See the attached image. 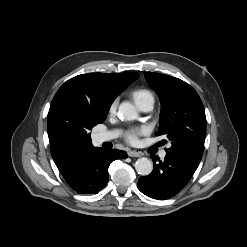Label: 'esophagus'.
Listing matches in <instances>:
<instances>
[{"label":"esophagus","mask_w":247,"mask_h":247,"mask_svg":"<svg viewBox=\"0 0 247 247\" xmlns=\"http://www.w3.org/2000/svg\"><path fill=\"white\" fill-rule=\"evenodd\" d=\"M128 155L130 157H141L142 153L138 152V151H135V150H131V151L128 152Z\"/></svg>","instance_id":"1"}]
</instances>
